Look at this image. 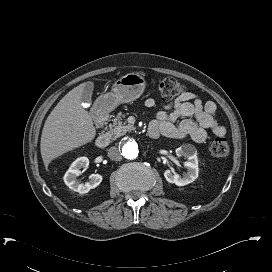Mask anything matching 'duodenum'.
<instances>
[{
    "mask_svg": "<svg viewBox=\"0 0 272 272\" xmlns=\"http://www.w3.org/2000/svg\"><path fill=\"white\" fill-rule=\"evenodd\" d=\"M91 117L95 122L105 123L108 119V104L103 103L93 108L91 111ZM147 135L151 139H157L160 136V131L156 125H150L147 131ZM110 142V137L106 134L100 135L96 140V145L99 148H105Z\"/></svg>",
    "mask_w": 272,
    "mask_h": 272,
    "instance_id": "duodenum-1",
    "label": "duodenum"
}]
</instances>
